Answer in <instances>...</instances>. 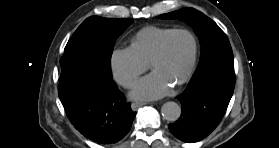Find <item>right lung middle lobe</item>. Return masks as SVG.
<instances>
[{"mask_svg": "<svg viewBox=\"0 0 279 148\" xmlns=\"http://www.w3.org/2000/svg\"><path fill=\"white\" fill-rule=\"evenodd\" d=\"M132 22V19L89 17L78 27L65 48L78 45L88 47L96 54L103 73L112 77L111 55L114 43Z\"/></svg>", "mask_w": 279, "mask_h": 148, "instance_id": "right-lung-middle-lobe-1", "label": "right lung middle lobe"}]
</instances>
